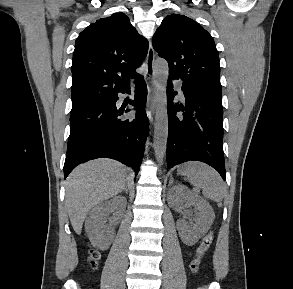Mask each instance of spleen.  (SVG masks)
I'll use <instances>...</instances> for the list:
<instances>
[{"label": "spleen", "instance_id": "spleen-1", "mask_svg": "<svg viewBox=\"0 0 293 289\" xmlns=\"http://www.w3.org/2000/svg\"><path fill=\"white\" fill-rule=\"evenodd\" d=\"M189 182L202 189L203 195L215 202L223 200L226 187L220 175L202 162H188L184 165Z\"/></svg>", "mask_w": 293, "mask_h": 289}]
</instances>
